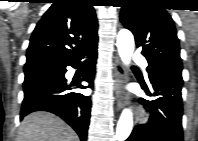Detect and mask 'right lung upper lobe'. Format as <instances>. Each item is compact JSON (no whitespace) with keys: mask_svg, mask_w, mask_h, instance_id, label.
<instances>
[{"mask_svg":"<svg viewBox=\"0 0 198 141\" xmlns=\"http://www.w3.org/2000/svg\"><path fill=\"white\" fill-rule=\"evenodd\" d=\"M97 28L89 0H56L33 31L24 72L71 61L98 40Z\"/></svg>","mask_w":198,"mask_h":141,"instance_id":"1","label":"right lung upper lobe"}]
</instances>
